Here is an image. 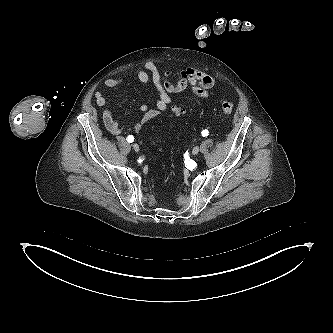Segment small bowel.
Returning a JSON list of instances; mask_svg holds the SVG:
<instances>
[{
  "mask_svg": "<svg viewBox=\"0 0 333 333\" xmlns=\"http://www.w3.org/2000/svg\"><path fill=\"white\" fill-rule=\"evenodd\" d=\"M140 82L147 84L151 82L158 93L156 109H150L147 104H142L140 110L144 113L140 122L133 125L135 131L139 132L151 119L157 117L161 111L168 108L172 102V94L190 88L192 93L199 98H208L212 95L215 87V78L200 70L187 68L179 73L161 71L153 62H146L136 71ZM124 78H108L104 84L107 88H116L124 83ZM96 104L103 107V123L112 135H120L123 127L113 117L109 108L106 107L107 98L105 94L97 90L95 92Z\"/></svg>",
  "mask_w": 333,
  "mask_h": 333,
  "instance_id": "1",
  "label": "small bowel"
}]
</instances>
